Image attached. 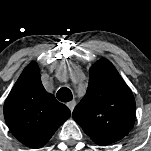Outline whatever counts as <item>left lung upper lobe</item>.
Listing matches in <instances>:
<instances>
[{
    "instance_id": "obj_1",
    "label": "left lung upper lobe",
    "mask_w": 151,
    "mask_h": 151,
    "mask_svg": "<svg viewBox=\"0 0 151 151\" xmlns=\"http://www.w3.org/2000/svg\"><path fill=\"white\" fill-rule=\"evenodd\" d=\"M72 115L98 145H108L122 139L133 127L134 96L107 59H100L90 68L86 95Z\"/></svg>"
}]
</instances>
